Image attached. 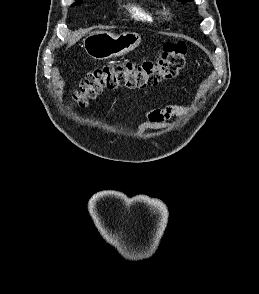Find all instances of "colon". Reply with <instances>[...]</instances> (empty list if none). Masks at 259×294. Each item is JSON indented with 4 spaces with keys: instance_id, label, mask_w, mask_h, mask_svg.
Wrapping results in <instances>:
<instances>
[{
    "instance_id": "obj_1",
    "label": "colon",
    "mask_w": 259,
    "mask_h": 294,
    "mask_svg": "<svg viewBox=\"0 0 259 294\" xmlns=\"http://www.w3.org/2000/svg\"><path fill=\"white\" fill-rule=\"evenodd\" d=\"M187 47L182 41L166 42L161 57L156 62L131 61L109 64L89 72L79 89L74 93V101L84 106L104 89L126 87L140 89L156 86L166 79L179 75L185 66Z\"/></svg>"
}]
</instances>
